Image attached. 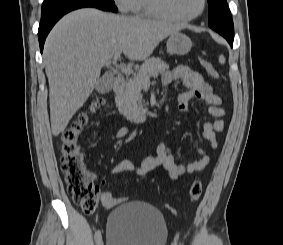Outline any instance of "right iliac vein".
<instances>
[{
  "mask_svg": "<svg viewBox=\"0 0 283 245\" xmlns=\"http://www.w3.org/2000/svg\"><path fill=\"white\" fill-rule=\"evenodd\" d=\"M97 245H103V241L100 240V241L97 243Z\"/></svg>",
  "mask_w": 283,
  "mask_h": 245,
  "instance_id": "right-iliac-vein-1",
  "label": "right iliac vein"
}]
</instances>
